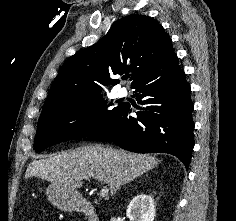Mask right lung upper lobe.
I'll use <instances>...</instances> for the list:
<instances>
[{"label": "right lung upper lobe", "mask_w": 236, "mask_h": 221, "mask_svg": "<svg viewBox=\"0 0 236 221\" xmlns=\"http://www.w3.org/2000/svg\"><path fill=\"white\" fill-rule=\"evenodd\" d=\"M175 53L163 27L145 15L132 14L116 21L95 45L69 57L54 81L43 110L100 94L101 86L118 80L110 73L131 72L132 86L167 65Z\"/></svg>", "instance_id": "cb5924a9"}]
</instances>
